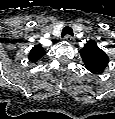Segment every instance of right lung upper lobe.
<instances>
[{
  "label": "right lung upper lobe",
  "instance_id": "right-lung-upper-lobe-1",
  "mask_svg": "<svg viewBox=\"0 0 115 119\" xmlns=\"http://www.w3.org/2000/svg\"><path fill=\"white\" fill-rule=\"evenodd\" d=\"M44 55H45L44 48L41 45H36L31 49L28 58L31 62H37Z\"/></svg>",
  "mask_w": 115,
  "mask_h": 119
}]
</instances>
